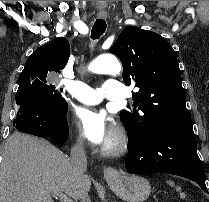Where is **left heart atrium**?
<instances>
[{"label": "left heart atrium", "mask_w": 209, "mask_h": 202, "mask_svg": "<svg viewBox=\"0 0 209 202\" xmlns=\"http://www.w3.org/2000/svg\"><path fill=\"white\" fill-rule=\"evenodd\" d=\"M76 122L84 139L93 145H105L115 136L110 117L96 108L84 106L76 110Z\"/></svg>", "instance_id": "left-heart-atrium-1"}]
</instances>
